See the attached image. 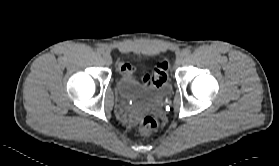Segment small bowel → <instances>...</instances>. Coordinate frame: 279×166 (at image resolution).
Here are the masks:
<instances>
[{"label":"small bowel","mask_w":279,"mask_h":166,"mask_svg":"<svg viewBox=\"0 0 279 166\" xmlns=\"http://www.w3.org/2000/svg\"><path fill=\"white\" fill-rule=\"evenodd\" d=\"M132 69H133L132 66L129 65V64H124L123 63L119 66V71H120L121 74L129 73V72L132 71Z\"/></svg>","instance_id":"1"}]
</instances>
